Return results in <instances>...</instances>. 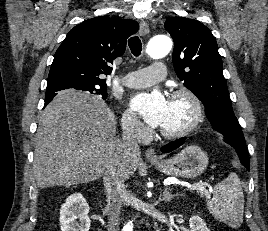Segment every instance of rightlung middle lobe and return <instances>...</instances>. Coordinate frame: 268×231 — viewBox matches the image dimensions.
Returning <instances> with one entry per match:
<instances>
[{"mask_svg": "<svg viewBox=\"0 0 268 231\" xmlns=\"http://www.w3.org/2000/svg\"><path fill=\"white\" fill-rule=\"evenodd\" d=\"M60 90H64V88H48L46 90V95L49 93H55V92L60 91ZM77 90L88 91L92 94L102 95L103 99L107 98L106 87H87V88L77 89Z\"/></svg>", "mask_w": 268, "mask_h": 231, "instance_id": "1", "label": "right lung middle lobe"}]
</instances>
